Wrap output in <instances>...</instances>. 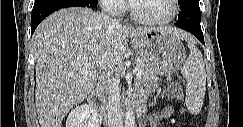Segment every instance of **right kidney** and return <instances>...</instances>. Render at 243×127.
Instances as JSON below:
<instances>
[{
    "instance_id": "obj_1",
    "label": "right kidney",
    "mask_w": 243,
    "mask_h": 127,
    "mask_svg": "<svg viewBox=\"0 0 243 127\" xmlns=\"http://www.w3.org/2000/svg\"><path fill=\"white\" fill-rule=\"evenodd\" d=\"M101 115L87 104L76 106L68 115L66 127H100Z\"/></svg>"
}]
</instances>
